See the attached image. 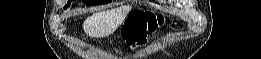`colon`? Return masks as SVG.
Segmentation results:
<instances>
[{
  "mask_svg": "<svg viewBox=\"0 0 261 59\" xmlns=\"http://www.w3.org/2000/svg\"><path fill=\"white\" fill-rule=\"evenodd\" d=\"M161 24V19L154 14L142 13L132 23L128 37L134 45L141 46L146 42L148 34L154 32Z\"/></svg>",
  "mask_w": 261,
  "mask_h": 59,
  "instance_id": "5ec220e1",
  "label": "colon"
}]
</instances>
